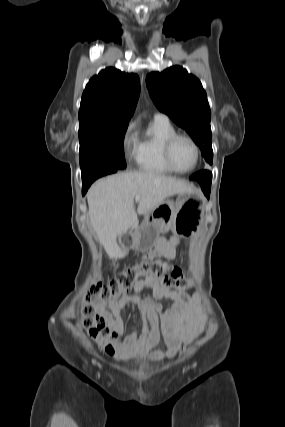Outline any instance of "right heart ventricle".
<instances>
[{"instance_id": "obj_1", "label": "right heart ventricle", "mask_w": 285, "mask_h": 427, "mask_svg": "<svg viewBox=\"0 0 285 427\" xmlns=\"http://www.w3.org/2000/svg\"><path fill=\"white\" fill-rule=\"evenodd\" d=\"M177 133L166 118L154 117L147 128L140 133L134 150L137 167L153 174H171L173 171L166 165L163 148L166 140Z\"/></svg>"}]
</instances>
